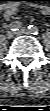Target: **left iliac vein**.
Here are the masks:
<instances>
[{
    "label": "left iliac vein",
    "mask_w": 50,
    "mask_h": 111,
    "mask_svg": "<svg viewBox=\"0 0 50 111\" xmlns=\"http://www.w3.org/2000/svg\"><path fill=\"white\" fill-rule=\"evenodd\" d=\"M30 32L27 30V29H25V28H21L20 30H18L17 32H16V34H18V35H22V34H29Z\"/></svg>",
    "instance_id": "1"
}]
</instances>
